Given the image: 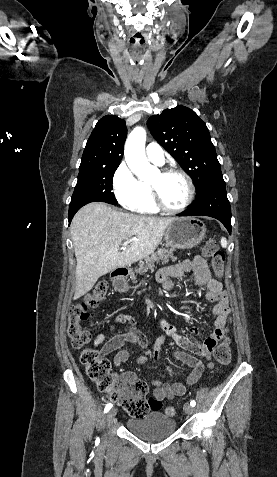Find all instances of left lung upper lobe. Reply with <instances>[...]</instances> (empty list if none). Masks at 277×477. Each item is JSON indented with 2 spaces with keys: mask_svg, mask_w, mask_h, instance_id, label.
<instances>
[{
  "mask_svg": "<svg viewBox=\"0 0 277 477\" xmlns=\"http://www.w3.org/2000/svg\"><path fill=\"white\" fill-rule=\"evenodd\" d=\"M153 137L192 178L197 194L221 168L206 124L184 106L165 109L148 119Z\"/></svg>",
  "mask_w": 277,
  "mask_h": 477,
  "instance_id": "1",
  "label": "left lung upper lobe"
}]
</instances>
